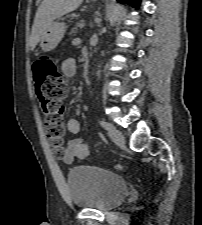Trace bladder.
Instances as JSON below:
<instances>
[{
    "mask_svg": "<svg viewBox=\"0 0 202 225\" xmlns=\"http://www.w3.org/2000/svg\"><path fill=\"white\" fill-rule=\"evenodd\" d=\"M72 204L77 208L108 212L119 206L128 193V183L119 174L91 165L78 166L66 175Z\"/></svg>",
    "mask_w": 202,
    "mask_h": 225,
    "instance_id": "bladder-1",
    "label": "bladder"
}]
</instances>
